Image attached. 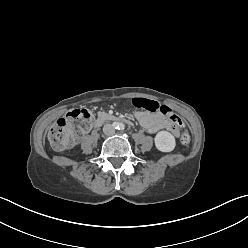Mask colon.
<instances>
[{
  "mask_svg": "<svg viewBox=\"0 0 248 248\" xmlns=\"http://www.w3.org/2000/svg\"><path fill=\"white\" fill-rule=\"evenodd\" d=\"M132 103L136 108L160 112L169 117L173 122L182 125V120L178 115L172 114L167 106L157 101L137 97L132 100ZM92 118L91 111L85 108L74 109L59 118L48 132V140L51 146L56 150H64L72 146L82 137L84 131L89 127ZM181 142L183 144L190 142V135L187 131L182 132Z\"/></svg>",
  "mask_w": 248,
  "mask_h": 248,
  "instance_id": "5ec220e1",
  "label": "colon"
}]
</instances>
